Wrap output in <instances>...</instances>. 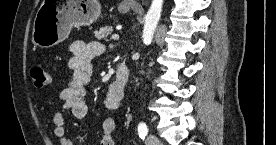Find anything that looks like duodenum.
<instances>
[{
	"label": "duodenum",
	"mask_w": 276,
	"mask_h": 145,
	"mask_svg": "<svg viewBox=\"0 0 276 145\" xmlns=\"http://www.w3.org/2000/svg\"><path fill=\"white\" fill-rule=\"evenodd\" d=\"M129 77L130 72L127 65L123 61H119L116 68V79L114 81V86L118 92L124 93Z\"/></svg>",
	"instance_id": "1"
}]
</instances>
